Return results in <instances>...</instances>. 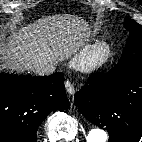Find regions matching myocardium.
<instances>
[{
  "instance_id": "myocardium-1",
  "label": "myocardium",
  "mask_w": 142,
  "mask_h": 142,
  "mask_svg": "<svg viewBox=\"0 0 142 142\" xmlns=\"http://www.w3.org/2000/svg\"><path fill=\"white\" fill-rule=\"evenodd\" d=\"M112 45L97 41L84 48L74 59V66L83 72H93L103 67L112 57Z\"/></svg>"
}]
</instances>
